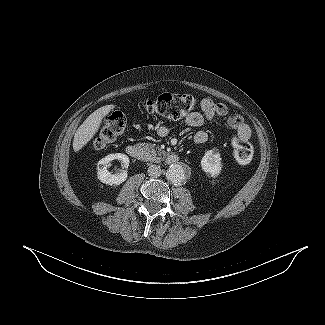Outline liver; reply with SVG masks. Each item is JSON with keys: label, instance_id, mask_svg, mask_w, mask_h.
Here are the masks:
<instances>
[{"label": "liver", "instance_id": "6515ba94", "mask_svg": "<svg viewBox=\"0 0 325 325\" xmlns=\"http://www.w3.org/2000/svg\"><path fill=\"white\" fill-rule=\"evenodd\" d=\"M114 108L115 105L103 106L86 118L74 135L73 149L75 152L80 151L94 137L100 128L102 119Z\"/></svg>", "mask_w": 325, "mask_h": 325}]
</instances>
